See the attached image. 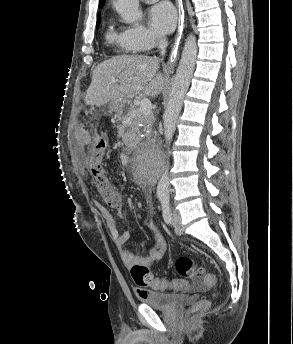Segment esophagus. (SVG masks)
<instances>
[{"mask_svg": "<svg viewBox=\"0 0 293 344\" xmlns=\"http://www.w3.org/2000/svg\"><path fill=\"white\" fill-rule=\"evenodd\" d=\"M176 6L178 10V29L175 36V41L172 45L170 57H169V64L172 65L175 63L178 57V51H179V40L181 37V26L184 20V9H183V2L182 0H176Z\"/></svg>", "mask_w": 293, "mask_h": 344, "instance_id": "esophagus-1", "label": "esophagus"}]
</instances>
